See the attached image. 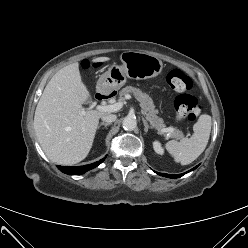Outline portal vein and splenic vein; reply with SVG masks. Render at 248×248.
Masks as SVG:
<instances>
[{"label":"portal vein and splenic vein","instance_id":"18ae733b","mask_svg":"<svg viewBox=\"0 0 248 248\" xmlns=\"http://www.w3.org/2000/svg\"><path fill=\"white\" fill-rule=\"evenodd\" d=\"M131 98H132V96L129 95V94H127L125 96V99H131ZM124 104H125V101L117 102V103L112 104V105H98L96 107V109L98 111H101V112H116V111L120 110L123 107ZM82 113H84V112H82ZM169 131H173V128L164 129L162 132L166 133V132H169Z\"/></svg>","mask_w":248,"mask_h":248}]
</instances>
